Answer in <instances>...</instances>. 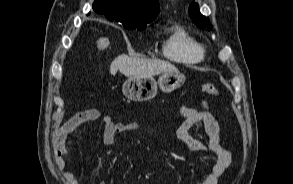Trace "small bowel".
Here are the masks:
<instances>
[{
  "mask_svg": "<svg viewBox=\"0 0 293 184\" xmlns=\"http://www.w3.org/2000/svg\"><path fill=\"white\" fill-rule=\"evenodd\" d=\"M182 123L176 131L178 140L190 151L199 153H211L215 156L209 174L203 181L196 184H218L219 179L225 174L231 164V155L221 144L220 127L218 122L210 112L206 102L202 103L200 109L187 106L181 107L179 111ZM90 121L102 122L103 141L107 145L114 144L119 134L124 132H133L141 130V126L136 123L114 122L110 116L102 115L97 109H86L73 115L64 123L58 133V138H67L69 134L74 132L83 124ZM202 126L205 142L200 141L191 134V130L196 126ZM56 165L60 170L65 169L66 160L58 156ZM65 184H80V180L68 170L65 173ZM98 184H106L100 181Z\"/></svg>",
  "mask_w": 293,
  "mask_h": 184,
  "instance_id": "small-bowel-1",
  "label": "small bowel"
}]
</instances>
